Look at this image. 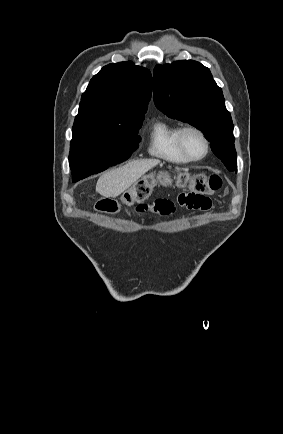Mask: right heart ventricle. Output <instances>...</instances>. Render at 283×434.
Segmentation results:
<instances>
[{"instance_id":"1","label":"right heart ventricle","mask_w":283,"mask_h":434,"mask_svg":"<svg viewBox=\"0 0 283 434\" xmlns=\"http://www.w3.org/2000/svg\"><path fill=\"white\" fill-rule=\"evenodd\" d=\"M181 127L168 120H156L150 129L148 153L161 160L185 164L189 160L180 152L177 144V134Z\"/></svg>"}]
</instances>
